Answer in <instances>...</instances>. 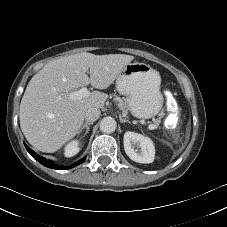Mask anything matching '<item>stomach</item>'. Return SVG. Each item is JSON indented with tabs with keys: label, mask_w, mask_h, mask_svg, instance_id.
Returning a JSON list of instances; mask_svg holds the SVG:
<instances>
[{
	"label": "stomach",
	"mask_w": 227,
	"mask_h": 227,
	"mask_svg": "<svg viewBox=\"0 0 227 227\" xmlns=\"http://www.w3.org/2000/svg\"><path fill=\"white\" fill-rule=\"evenodd\" d=\"M160 85L159 72L142 62L127 64L116 78L117 91L126 96L127 108L139 119L152 118L162 109Z\"/></svg>",
	"instance_id": "1"
}]
</instances>
